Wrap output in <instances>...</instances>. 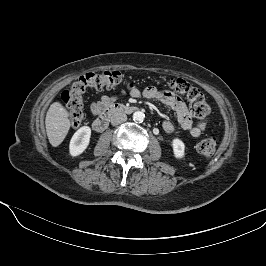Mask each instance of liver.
Segmentation results:
<instances>
[{
	"label": "liver",
	"instance_id": "1",
	"mask_svg": "<svg viewBox=\"0 0 266 266\" xmlns=\"http://www.w3.org/2000/svg\"><path fill=\"white\" fill-rule=\"evenodd\" d=\"M68 111L60 102H54L50 105L45 119L47 137L53 147L59 146L65 139L71 122Z\"/></svg>",
	"mask_w": 266,
	"mask_h": 266
}]
</instances>
